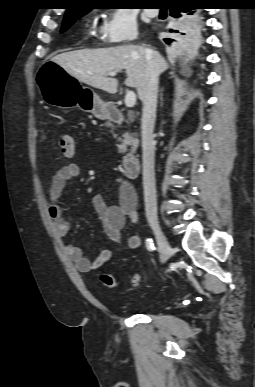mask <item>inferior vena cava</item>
Segmentation results:
<instances>
[{
  "mask_svg": "<svg viewBox=\"0 0 255 387\" xmlns=\"http://www.w3.org/2000/svg\"><path fill=\"white\" fill-rule=\"evenodd\" d=\"M146 75L139 98L143 102L142 148H143V188L145 211L148 222H157V199L154 172L155 144L153 129L156 118L158 71L151 50L146 48Z\"/></svg>",
  "mask_w": 255,
  "mask_h": 387,
  "instance_id": "obj_1",
  "label": "inferior vena cava"
}]
</instances>
